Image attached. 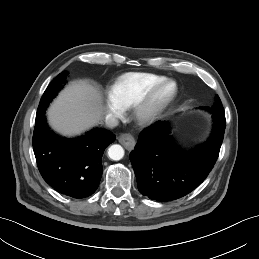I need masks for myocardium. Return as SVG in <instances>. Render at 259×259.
<instances>
[{"instance_id":"f54148a6","label":"myocardium","mask_w":259,"mask_h":259,"mask_svg":"<svg viewBox=\"0 0 259 259\" xmlns=\"http://www.w3.org/2000/svg\"><path fill=\"white\" fill-rule=\"evenodd\" d=\"M172 89L165 99L155 102L156 95L166 87ZM178 95V85L174 80L165 79L147 89L130 106L133 119L142 126L156 122L170 107Z\"/></svg>"}]
</instances>
